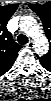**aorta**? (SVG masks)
<instances>
[{"mask_svg":"<svg viewBox=\"0 0 51 101\" xmlns=\"http://www.w3.org/2000/svg\"><path fill=\"white\" fill-rule=\"evenodd\" d=\"M20 28L35 42V52L38 55H45L48 51V40L37 21L31 16H23L20 21Z\"/></svg>","mask_w":51,"mask_h":101,"instance_id":"762f6f07","label":"aorta"}]
</instances>
